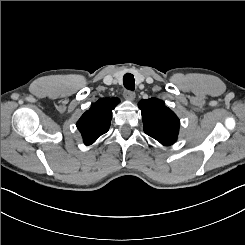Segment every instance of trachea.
<instances>
[{
  "mask_svg": "<svg viewBox=\"0 0 245 245\" xmlns=\"http://www.w3.org/2000/svg\"><path fill=\"white\" fill-rule=\"evenodd\" d=\"M123 84L127 88V90H134L135 83H134V75L132 73H126L123 77Z\"/></svg>",
  "mask_w": 245,
  "mask_h": 245,
  "instance_id": "3493384b",
  "label": "trachea"
}]
</instances>
